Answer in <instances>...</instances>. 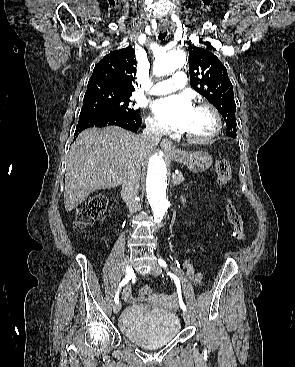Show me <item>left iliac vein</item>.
<instances>
[{
	"mask_svg": "<svg viewBox=\"0 0 295 367\" xmlns=\"http://www.w3.org/2000/svg\"><path fill=\"white\" fill-rule=\"evenodd\" d=\"M151 273L155 276H158L162 273V269L158 264L154 263L153 267L151 268ZM183 319L187 325L191 324V315L188 311H183Z\"/></svg>",
	"mask_w": 295,
	"mask_h": 367,
	"instance_id": "obj_1",
	"label": "left iliac vein"
}]
</instances>
